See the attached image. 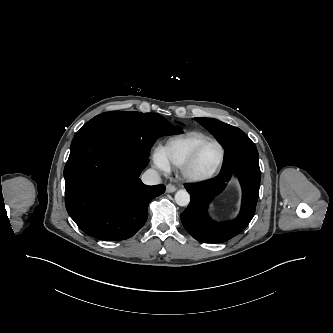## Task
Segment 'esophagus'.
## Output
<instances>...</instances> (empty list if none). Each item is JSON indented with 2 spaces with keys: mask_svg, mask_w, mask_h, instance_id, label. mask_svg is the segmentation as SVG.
Listing matches in <instances>:
<instances>
[{
  "mask_svg": "<svg viewBox=\"0 0 333 333\" xmlns=\"http://www.w3.org/2000/svg\"><path fill=\"white\" fill-rule=\"evenodd\" d=\"M176 190H177V188H176V186L173 185V184H168V185L166 186V191H167L168 193H173V192H175Z\"/></svg>",
  "mask_w": 333,
  "mask_h": 333,
  "instance_id": "esophagus-1",
  "label": "esophagus"
}]
</instances>
